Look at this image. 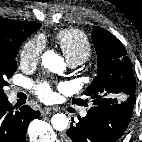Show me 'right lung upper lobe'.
<instances>
[{
	"instance_id": "right-lung-upper-lobe-1",
	"label": "right lung upper lobe",
	"mask_w": 142,
	"mask_h": 142,
	"mask_svg": "<svg viewBox=\"0 0 142 142\" xmlns=\"http://www.w3.org/2000/svg\"><path fill=\"white\" fill-rule=\"evenodd\" d=\"M41 24L15 20H0V45L21 35L32 34Z\"/></svg>"
}]
</instances>
